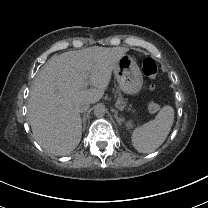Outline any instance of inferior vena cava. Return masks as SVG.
Masks as SVG:
<instances>
[{
	"mask_svg": "<svg viewBox=\"0 0 208 208\" xmlns=\"http://www.w3.org/2000/svg\"><path fill=\"white\" fill-rule=\"evenodd\" d=\"M89 106H90V102L88 100L80 99L78 101V104H77L76 108L79 112H85V111H87Z\"/></svg>",
	"mask_w": 208,
	"mask_h": 208,
	"instance_id": "1",
	"label": "inferior vena cava"
}]
</instances>
